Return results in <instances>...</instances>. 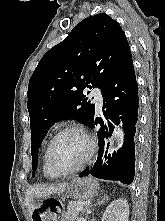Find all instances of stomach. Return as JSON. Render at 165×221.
<instances>
[{
  "label": "stomach",
  "instance_id": "0dacf381",
  "mask_svg": "<svg viewBox=\"0 0 165 221\" xmlns=\"http://www.w3.org/2000/svg\"><path fill=\"white\" fill-rule=\"evenodd\" d=\"M61 192L67 198L90 200L98 195L99 184L91 177L75 178ZM68 205H72V200H36L31 217L34 221H66V218L54 217H67Z\"/></svg>",
  "mask_w": 165,
  "mask_h": 221
}]
</instances>
